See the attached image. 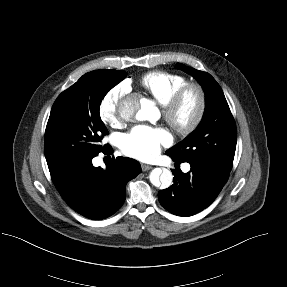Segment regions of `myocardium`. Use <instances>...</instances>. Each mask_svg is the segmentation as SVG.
Listing matches in <instances>:
<instances>
[{"label":"myocardium","instance_id":"obj_1","mask_svg":"<svg viewBox=\"0 0 287 287\" xmlns=\"http://www.w3.org/2000/svg\"><path fill=\"white\" fill-rule=\"evenodd\" d=\"M195 95L197 107L195 114L187 123L177 120L178 113L189 95ZM206 94L201 85L195 82H187L181 86L163 106V117L169 126L180 136L193 133L201 124L206 112Z\"/></svg>","mask_w":287,"mask_h":287}]
</instances>
